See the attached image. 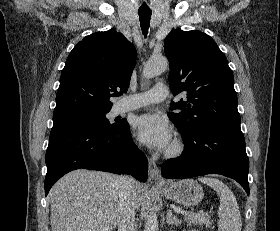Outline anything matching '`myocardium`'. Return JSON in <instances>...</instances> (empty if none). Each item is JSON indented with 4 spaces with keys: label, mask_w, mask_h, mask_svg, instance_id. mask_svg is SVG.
<instances>
[{
    "label": "myocardium",
    "mask_w": 280,
    "mask_h": 231,
    "mask_svg": "<svg viewBox=\"0 0 280 231\" xmlns=\"http://www.w3.org/2000/svg\"><path fill=\"white\" fill-rule=\"evenodd\" d=\"M185 149V143L182 139H176L166 152L167 158H176L180 156Z\"/></svg>",
    "instance_id": "obj_1"
}]
</instances>
